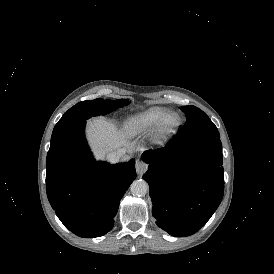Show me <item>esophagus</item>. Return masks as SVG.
Segmentation results:
<instances>
[{
    "mask_svg": "<svg viewBox=\"0 0 274 274\" xmlns=\"http://www.w3.org/2000/svg\"><path fill=\"white\" fill-rule=\"evenodd\" d=\"M135 168L137 173L141 176L147 170L148 166L142 161L137 160L135 163Z\"/></svg>",
    "mask_w": 274,
    "mask_h": 274,
    "instance_id": "esophagus-1",
    "label": "esophagus"
}]
</instances>
